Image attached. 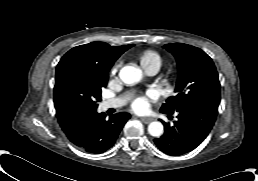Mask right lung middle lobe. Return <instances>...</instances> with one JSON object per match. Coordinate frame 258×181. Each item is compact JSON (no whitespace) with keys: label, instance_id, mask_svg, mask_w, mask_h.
<instances>
[{"label":"right lung middle lobe","instance_id":"obj_1","mask_svg":"<svg viewBox=\"0 0 258 181\" xmlns=\"http://www.w3.org/2000/svg\"><path fill=\"white\" fill-rule=\"evenodd\" d=\"M107 80L108 76L97 74L77 57L61 59L55 77V108L79 106L96 109Z\"/></svg>","mask_w":258,"mask_h":181}]
</instances>
